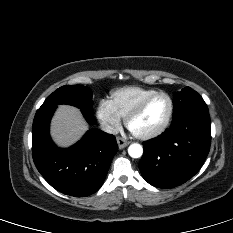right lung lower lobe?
<instances>
[{
  "label": "right lung lower lobe",
  "instance_id": "obj_1",
  "mask_svg": "<svg viewBox=\"0 0 233 233\" xmlns=\"http://www.w3.org/2000/svg\"><path fill=\"white\" fill-rule=\"evenodd\" d=\"M56 107L38 109L32 127L34 163L45 180L59 192L86 197L103 184L118 150L115 136L98 129L89 130L75 145L57 148L49 135V124ZM90 124L96 119L82 111Z\"/></svg>",
  "mask_w": 233,
  "mask_h": 233
}]
</instances>
